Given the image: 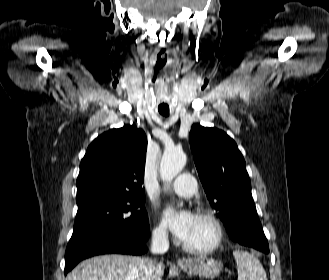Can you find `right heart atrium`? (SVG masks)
<instances>
[{"instance_id": "d8ad5b80", "label": "right heart atrium", "mask_w": 329, "mask_h": 280, "mask_svg": "<svg viewBox=\"0 0 329 280\" xmlns=\"http://www.w3.org/2000/svg\"><path fill=\"white\" fill-rule=\"evenodd\" d=\"M153 238L157 242H166L168 238V233L164 225L158 224L153 230Z\"/></svg>"}]
</instances>
